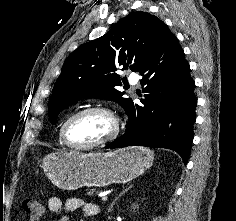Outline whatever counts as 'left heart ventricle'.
<instances>
[{
	"instance_id": "1",
	"label": "left heart ventricle",
	"mask_w": 236,
	"mask_h": 221,
	"mask_svg": "<svg viewBox=\"0 0 236 221\" xmlns=\"http://www.w3.org/2000/svg\"><path fill=\"white\" fill-rule=\"evenodd\" d=\"M112 130L113 123L109 116L101 112H91L71 122L68 137L74 144L87 145L105 139Z\"/></svg>"
}]
</instances>
